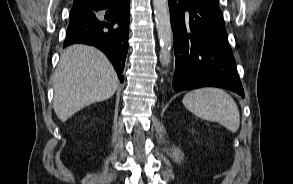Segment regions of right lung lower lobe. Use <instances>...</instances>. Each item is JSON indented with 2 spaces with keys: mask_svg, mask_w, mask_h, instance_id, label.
<instances>
[{
  "mask_svg": "<svg viewBox=\"0 0 293 184\" xmlns=\"http://www.w3.org/2000/svg\"><path fill=\"white\" fill-rule=\"evenodd\" d=\"M129 0L74 4L64 47L84 43L99 48L112 62L121 82L128 51Z\"/></svg>",
  "mask_w": 293,
  "mask_h": 184,
  "instance_id": "98d812e1",
  "label": "right lung lower lobe"
}]
</instances>
